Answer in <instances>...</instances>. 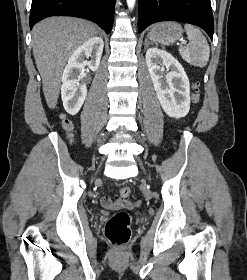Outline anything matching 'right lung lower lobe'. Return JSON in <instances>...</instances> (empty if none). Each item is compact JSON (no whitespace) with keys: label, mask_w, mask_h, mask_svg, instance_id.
Returning <instances> with one entry per match:
<instances>
[{"label":"right lung lower lobe","mask_w":247,"mask_h":280,"mask_svg":"<svg viewBox=\"0 0 247 280\" xmlns=\"http://www.w3.org/2000/svg\"><path fill=\"white\" fill-rule=\"evenodd\" d=\"M116 0H32L30 29L35 23L49 16H75L99 24L111 32Z\"/></svg>","instance_id":"1"}]
</instances>
